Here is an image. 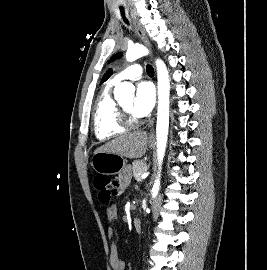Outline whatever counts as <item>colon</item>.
<instances>
[{"label":"colon","instance_id":"1","mask_svg":"<svg viewBox=\"0 0 267 270\" xmlns=\"http://www.w3.org/2000/svg\"><path fill=\"white\" fill-rule=\"evenodd\" d=\"M94 187L98 193L99 201L103 204L110 202L111 199L119 195L121 191L120 182L104 174L95 176Z\"/></svg>","mask_w":267,"mask_h":270}]
</instances>
